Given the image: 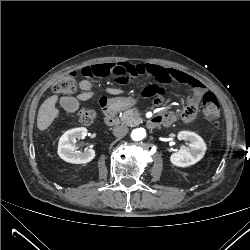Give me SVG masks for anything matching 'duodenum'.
Returning <instances> with one entry per match:
<instances>
[{"mask_svg": "<svg viewBox=\"0 0 250 250\" xmlns=\"http://www.w3.org/2000/svg\"><path fill=\"white\" fill-rule=\"evenodd\" d=\"M101 106H102L104 117H105L104 118L105 123L107 125H113L115 122V118L120 113V111L114 108L113 106H111L110 104H108L105 100L101 101ZM160 123H161V119L157 115H153L149 117L147 120V125L153 128L158 126Z\"/></svg>", "mask_w": 250, "mask_h": 250, "instance_id": "duodenum-1", "label": "duodenum"}]
</instances>
